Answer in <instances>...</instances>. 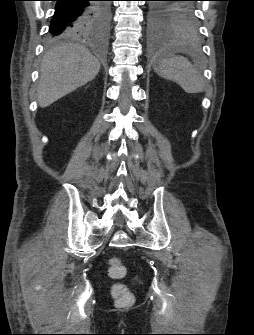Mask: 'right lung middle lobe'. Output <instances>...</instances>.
I'll use <instances>...</instances> for the list:
<instances>
[{"instance_id":"dd1d6c3e","label":"right lung middle lobe","mask_w":254,"mask_h":335,"mask_svg":"<svg viewBox=\"0 0 254 335\" xmlns=\"http://www.w3.org/2000/svg\"><path fill=\"white\" fill-rule=\"evenodd\" d=\"M108 2H101L99 4V13L96 21L91 25L90 27V34H99L104 33L107 30V25L109 22L110 17V7ZM75 35H83L82 33L76 32V33H67L63 36L59 37H52L49 36L50 41L58 40L65 37L75 36Z\"/></svg>"}]
</instances>
